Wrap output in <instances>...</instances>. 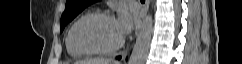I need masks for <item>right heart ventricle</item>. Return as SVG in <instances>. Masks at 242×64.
<instances>
[{"label": "right heart ventricle", "mask_w": 242, "mask_h": 64, "mask_svg": "<svg viewBox=\"0 0 242 64\" xmlns=\"http://www.w3.org/2000/svg\"><path fill=\"white\" fill-rule=\"evenodd\" d=\"M75 24V23H74ZM74 24L71 26V28L69 29V32L66 36V48H67V51L68 53L73 56V57H83L85 54L79 52L72 44V41H71V31H72V28L74 26Z\"/></svg>", "instance_id": "obj_1"}]
</instances>
